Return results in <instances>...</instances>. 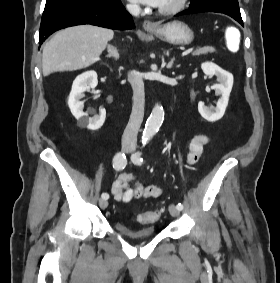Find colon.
Masks as SVG:
<instances>
[{
    "label": "colon",
    "instance_id": "1",
    "mask_svg": "<svg viewBox=\"0 0 280 283\" xmlns=\"http://www.w3.org/2000/svg\"><path fill=\"white\" fill-rule=\"evenodd\" d=\"M225 36L228 42V51H240L241 37H244V32H239V25H225ZM161 210L147 211L137 213L136 219L138 222L147 224L155 222L160 218Z\"/></svg>",
    "mask_w": 280,
    "mask_h": 283
}]
</instances>
